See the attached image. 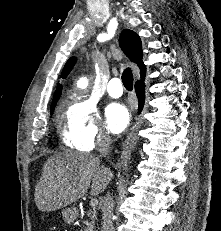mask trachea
I'll use <instances>...</instances> for the list:
<instances>
[{
  "mask_svg": "<svg viewBox=\"0 0 221 231\" xmlns=\"http://www.w3.org/2000/svg\"><path fill=\"white\" fill-rule=\"evenodd\" d=\"M122 82L127 90L133 89V74L130 68L124 70L122 74Z\"/></svg>",
  "mask_w": 221,
  "mask_h": 231,
  "instance_id": "trachea-1",
  "label": "trachea"
}]
</instances>
